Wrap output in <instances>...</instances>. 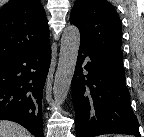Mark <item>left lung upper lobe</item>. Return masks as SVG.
<instances>
[{
  "instance_id": "left-lung-upper-lobe-1",
  "label": "left lung upper lobe",
  "mask_w": 144,
  "mask_h": 137,
  "mask_svg": "<svg viewBox=\"0 0 144 137\" xmlns=\"http://www.w3.org/2000/svg\"><path fill=\"white\" fill-rule=\"evenodd\" d=\"M70 21L79 28L81 44L123 64L122 26L113 5L106 0H76Z\"/></svg>"
}]
</instances>
